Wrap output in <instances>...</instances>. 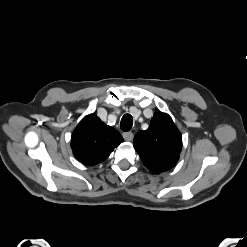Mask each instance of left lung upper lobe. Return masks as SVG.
Masks as SVG:
<instances>
[{"instance_id": "1", "label": "left lung upper lobe", "mask_w": 247, "mask_h": 247, "mask_svg": "<svg viewBox=\"0 0 247 247\" xmlns=\"http://www.w3.org/2000/svg\"><path fill=\"white\" fill-rule=\"evenodd\" d=\"M134 148L144 165L159 174L168 171L178 161L182 137L171 117L156 111L149 128L135 135Z\"/></svg>"}]
</instances>
